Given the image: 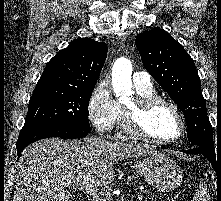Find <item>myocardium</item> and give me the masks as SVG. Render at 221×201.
Instances as JSON below:
<instances>
[{"label": "myocardium", "instance_id": "1", "mask_svg": "<svg viewBox=\"0 0 221 201\" xmlns=\"http://www.w3.org/2000/svg\"><path fill=\"white\" fill-rule=\"evenodd\" d=\"M166 106L173 111L180 123V134L170 140L158 139L147 134L142 127V119L155 107ZM122 127L130 136L159 145H171L179 142L186 133V122L178 107L171 101L158 96H147L135 98L131 104L122 109Z\"/></svg>", "mask_w": 221, "mask_h": 201}]
</instances>
